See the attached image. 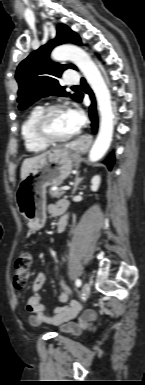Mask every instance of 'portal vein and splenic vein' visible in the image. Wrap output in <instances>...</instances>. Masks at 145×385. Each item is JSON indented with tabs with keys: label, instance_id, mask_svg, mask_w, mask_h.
Wrapping results in <instances>:
<instances>
[{
	"label": "portal vein and splenic vein",
	"instance_id": "1",
	"mask_svg": "<svg viewBox=\"0 0 145 385\" xmlns=\"http://www.w3.org/2000/svg\"><path fill=\"white\" fill-rule=\"evenodd\" d=\"M70 189V186H64L62 187V190L66 191V190H69Z\"/></svg>",
	"mask_w": 145,
	"mask_h": 385
}]
</instances>
